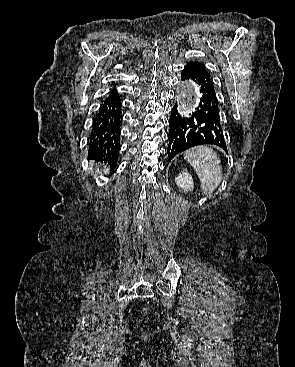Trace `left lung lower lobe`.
I'll use <instances>...</instances> for the list:
<instances>
[{
    "instance_id": "0a47b994",
    "label": "left lung lower lobe",
    "mask_w": 295,
    "mask_h": 367,
    "mask_svg": "<svg viewBox=\"0 0 295 367\" xmlns=\"http://www.w3.org/2000/svg\"><path fill=\"white\" fill-rule=\"evenodd\" d=\"M181 79L195 81L200 86L202 97L189 118H181L177 104L173 107L169 119L168 162L178 153L197 145L211 144L226 150L219 102L206 67L197 61L189 62L181 73Z\"/></svg>"
}]
</instances>
